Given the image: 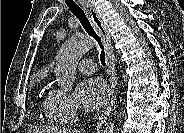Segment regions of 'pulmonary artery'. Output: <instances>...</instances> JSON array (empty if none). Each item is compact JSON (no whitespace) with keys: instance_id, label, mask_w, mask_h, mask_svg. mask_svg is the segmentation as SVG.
Masks as SVG:
<instances>
[{"instance_id":"pulmonary-artery-1","label":"pulmonary artery","mask_w":184,"mask_h":133,"mask_svg":"<svg viewBox=\"0 0 184 133\" xmlns=\"http://www.w3.org/2000/svg\"><path fill=\"white\" fill-rule=\"evenodd\" d=\"M78 69L84 74H92L96 71V64L93 60L85 58L79 62Z\"/></svg>"}]
</instances>
